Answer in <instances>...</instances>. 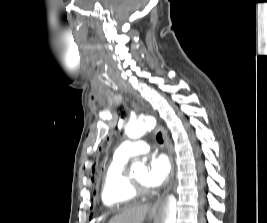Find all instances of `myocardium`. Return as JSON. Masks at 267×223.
<instances>
[{
  "label": "myocardium",
  "mask_w": 267,
  "mask_h": 223,
  "mask_svg": "<svg viewBox=\"0 0 267 223\" xmlns=\"http://www.w3.org/2000/svg\"><path fill=\"white\" fill-rule=\"evenodd\" d=\"M128 183L135 197H145L150 193V190L147 187L138 184L133 178L129 176Z\"/></svg>",
  "instance_id": "f54148a6"
}]
</instances>
